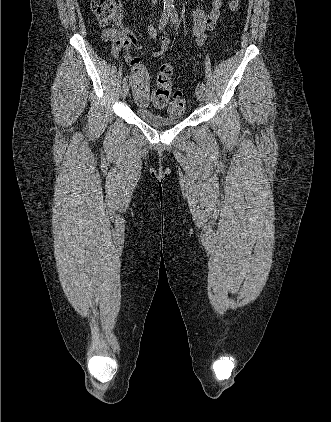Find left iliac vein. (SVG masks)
Wrapping results in <instances>:
<instances>
[{"label":"left iliac vein","instance_id":"1","mask_svg":"<svg viewBox=\"0 0 331 422\" xmlns=\"http://www.w3.org/2000/svg\"><path fill=\"white\" fill-rule=\"evenodd\" d=\"M196 97L199 101L204 99V90L201 87H197L195 90Z\"/></svg>","mask_w":331,"mask_h":422}]
</instances>
